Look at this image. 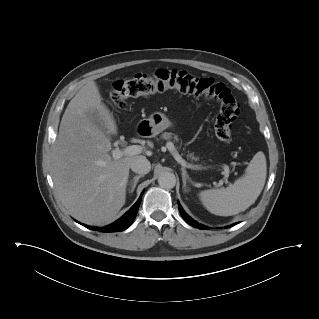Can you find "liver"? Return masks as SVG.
<instances>
[{
    "label": "liver",
    "instance_id": "1",
    "mask_svg": "<svg viewBox=\"0 0 319 319\" xmlns=\"http://www.w3.org/2000/svg\"><path fill=\"white\" fill-rule=\"evenodd\" d=\"M94 112L107 131L93 122ZM116 133V122L102 102L97 84L88 82L69 102L51 154L57 196L83 223H109L116 217L125 204L130 164L144 157L112 158L108 135Z\"/></svg>",
    "mask_w": 319,
    "mask_h": 319
}]
</instances>
